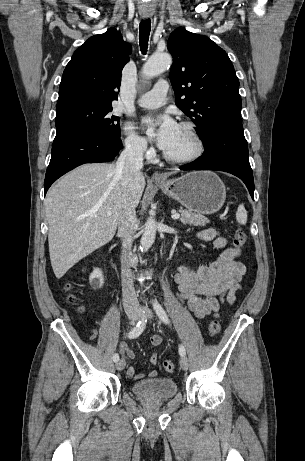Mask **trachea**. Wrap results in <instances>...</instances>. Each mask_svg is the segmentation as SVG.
<instances>
[{"instance_id":"trachea-1","label":"trachea","mask_w":305,"mask_h":461,"mask_svg":"<svg viewBox=\"0 0 305 461\" xmlns=\"http://www.w3.org/2000/svg\"><path fill=\"white\" fill-rule=\"evenodd\" d=\"M151 30L150 19L142 20L139 27V43L143 54L146 53Z\"/></svg>"}]
</instances>
